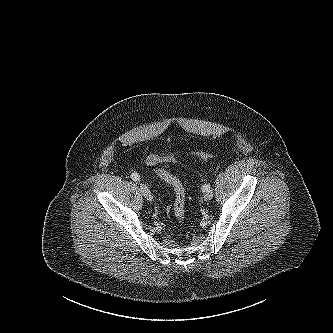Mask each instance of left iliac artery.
<instances>
[{
    "label": "left iliac artery",
    "instance_id": "left-iliac-artery-1",
    "mask_svg": "<svg viewBox=\"0 0 333 333\" xmlns=\"http://www.w3.org/2000/svg\"><path fill=\"white\" fill-rule=\"evenodd\" d=\"M201 189H202V191H204V192H205V191H208V190H210V185L205 184V185L202 186Z\"/></svg>",
    "mask_w": 333,
    "mask_h": 333
}]
</instances>
